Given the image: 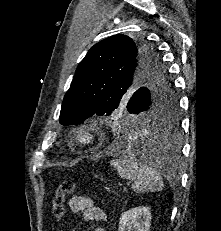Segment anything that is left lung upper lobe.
<instances>
[{
	"label": "left lung upper lobe",
	"mask_w": 221,
	"mask_h": 231,
	"mask_svg": "<svg viewBox=\"0 0 221 231\" xmlns=\"http://www.w3.org/2000/svg\"><path fill=\"white\" fill-rule=\"evenodd\" d=\"M123 106L159 124L177 119L176 94L158 50L117 34L95 44L79 63L59 121L80 124L94 115L114 116Z\"/></svg>",
	"instance_id": "left-lung-upper-lobe-1"
}]
</instances>
